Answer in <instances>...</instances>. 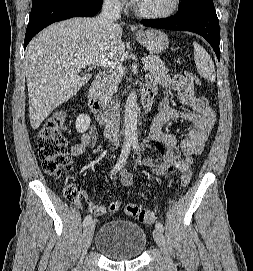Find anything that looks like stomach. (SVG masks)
<instances>
[{"label":"stomach","instance_id":"0dacf381","mask_svg":"<svg viewBox=\"0 0 253 271\" xmlns=\"http://www.w3.org/2000/svg\"><path fill=\"white\" fill-rule=\"evenodd\" d=\"M136 38L151 54L162 53L169 46L168 36L160 30L139 31Z\"/></svg>","mask_w":253,"mask_h":271}]
</instances>
